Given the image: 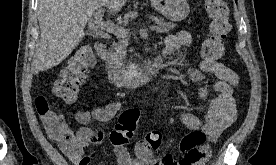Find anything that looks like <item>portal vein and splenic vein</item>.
<instances>
[{
	"mask_svg": "<svg viewBox=\"0 0 276 165\" xmlns=\"http://www.w3.org/2000/svg\"><path fill=\"white\" fill-rule=\"evenodd\" d=\"M102 17H103L102 10H99L98 12H96L93 21L97 27H100L101 29L106 30L109 33H113L118 37H127L129 35V32L127 29H125L124 27L115 25L114 23H111V22H104L102 20ZM155 29H156L155 26L153 25L149 26L150 31H154Z\"/></svg>",
	"mask_w": 276,
	"mask_h": 165,
	"instance_id": "18ae733b",
	"label": "portal vein and splenic vein"
}]
</instances>
